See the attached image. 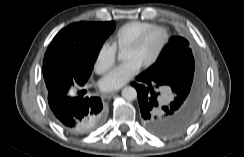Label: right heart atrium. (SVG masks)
<instances>
[{
	"instance_id": "right-heart-atrium-1",
	"label": "right heart atrium",
	"mask_w": 244,
	"mask_h": 157,
	"mask_svg": "<svg viewBox=\"0 0 244 157\" xmlns=\"http://www.w3.org/2000/svg\"><path fill=\"white\" fill-rule=\"evenodd\" d=\"M117 50L113 43L104 41L95 57L94 69L95 71L103 75L107 73L116 63Z\"/></svg>"
}]
</instances>
